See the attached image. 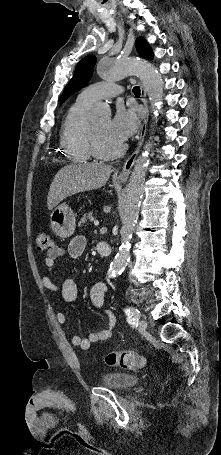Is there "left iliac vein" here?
I'll list each match as a JSON object with an SVG mask.
<instances>
[{
	"label": "left iliac vein",
	"instance_id": "obj_1",
	"mask_svg": "<svg viewBox=\"0 0 221 455\" xmlns=\"http://www.w3.org/2000/svg\"><path fill=\"white\" fill-rule=\"evenodd\" d=\"M147 328V321L145 319H141L138 324L139 331H145Z\"/></svg>",
	"mask_w": 221,
	"mask_h": 455
}]
</instances>
